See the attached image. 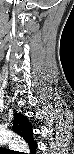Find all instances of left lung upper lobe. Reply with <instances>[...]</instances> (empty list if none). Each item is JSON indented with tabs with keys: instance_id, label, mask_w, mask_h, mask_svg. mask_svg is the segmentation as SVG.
<instances>
[{
	"instance_id": "5c2ea615",
	"label": "left lung upper lobe",
	"mask_w": 74,
	"mask_h": 154,
	"mask_svg": "<svg viewBox=\"0 0 74 154\" xmlns=\"http://www.w3.org/2000/svg\"><path fill=\"white\" fill-rule=\"evenodd\" d=\"M20 120H21V122H20ZM26 120V118L25 117H20V115H16L15 117H14V121H15V123H19V124H23L22 122L23 121H25ZM19 127H20V125H19ZM13 129H14V131L15 132H17L19 135H22V132H21V130L20 129H17V125L16 124H13ZM23 131V130H22ZM24 135V134H23Z\"/></svg>"
}]
</instances>
